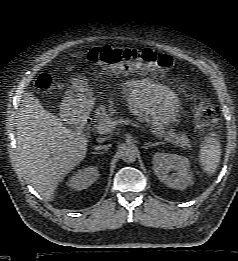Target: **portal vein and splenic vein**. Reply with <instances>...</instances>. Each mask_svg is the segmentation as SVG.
<instances>
[{
    "instance_id": "1",
    "label": "portal vein and splenic vein",
    "mask_w": 238,
    "mask_h": 261,
    "mask_svg": "<svg viewBox=\"0 0 238 261\" xmlns=\"http://www.w3.org/2000/svg\"><path fill=\"white\" fill-rule=\"evenodd\" d=\"M119 123L121 124H131L136 128H139L141 130H144V128L137 122L130 120V119H119V120H114L112 118H108L105 121L100 122L99 124L96 125V130L99 134H107L112 132L115 129V126H117Z\"/></svg>"
}]
</instances>
